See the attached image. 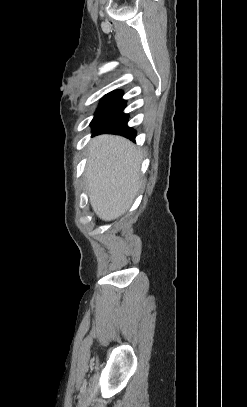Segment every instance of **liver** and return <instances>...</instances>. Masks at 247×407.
Returning a JSON list of instances; mask_svg holds the SVG:
<instances>
[{"instance_id": "1", "label": "liver", "mask_w": 247, "mask_h": 407, "mask_svg": "<svg viewBox=\"0 0 247 407\" xmlns=\"http://www.w3.org/2000/svg\"><path fill=\"white\" fill-rule=\"evenodd\" d=\"M141 161L140 150L123 137L102 135L90 142L86 183L100 219L111 221L131 206L141 185Z\"/></svg>"}]
</instances>
